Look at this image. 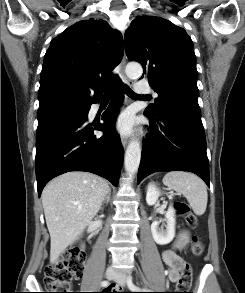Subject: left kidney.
<instances>
[{
    "label": "left kidney",
    "instance_id": "1",
    "mask_svg": "<svg viewBox=\"0 0 245 293\" xmlns=\"http://www.w3.org/2000/svg\"><path fill=\"white\" fill-rule=\"evenodd\" d=\"M161 192L154 184H149L146 194V202L148 205H155ZM167 225L165 229L159 227V223L154 221L151 224V232L153 239L159 245L169 244L175 237V210L170 206L166 212Z\"/></svg>",
    "mask_w": 245,
    "mask_h": 293
}]
</instances>
